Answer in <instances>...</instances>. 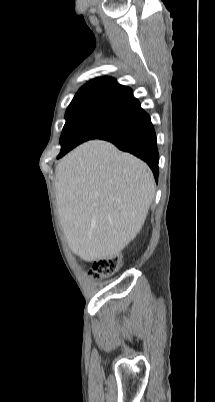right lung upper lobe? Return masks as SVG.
<instances>
[{
  "instance_id": "obj_1",
  "label": "right lung upper lobe",
  "mask_w": 215,
  "mask_h": 402,
  "mask_svg": "<svg viewBox=\"0 0 215 402\" xmlns=\"http://www.w3.org/2000/svg\"><path fill=\"white\" fill-rule=\"evenodd\" d=\"M76 95H109L128 102L139 103L130 88L120 85L111 77H100L87 82Z\"/></svg>"
}]
</instances>
